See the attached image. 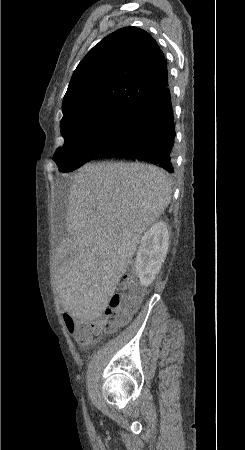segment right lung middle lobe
<instances>
[{"label":"right lung middle lobe","instance_id":"dd1d6c3e","mask_svg":"<svg viewBox=\"0 0 245 450\" xmlns=\"http://www.w3.org/2000/svg\"><path fill=\"white\" fill-rule=\"evenodd\" d=\"M136 110L121 104L102 103L82 108L60 123L63 147L53 160L62 172L82 166L98 152H105L123 137Z\"/></svg>","mask_w":245,"mask_h":450}]
</instances>
